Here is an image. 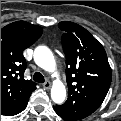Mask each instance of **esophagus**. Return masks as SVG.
I'll use <instances>...</instances> for the list:
<instances>
[{"label": "esophagus", "instance_id": "obj_1", "mask_svg": "<svg viewBox=\"0 0 121 121\" xmlns=\"http://www.w3.org/2000/svg\"><path fill=\"white\" fill-rule=\"evenodd\" d=\"M43 87H44V89L49 90V89L51 88V82L46 81V82L43 84Z\"/></svg>", "mask_w": 121, "mask_h": 121}]
</instances>
